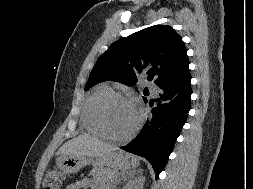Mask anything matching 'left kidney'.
Returning a JSON list of instances; mask_svg holds the SVG:
<instances>
[{
    "instance_id": "5707ae66",
    "label": "left kidney",
    "mask_w": 253,
    "mask_h": 189,
    "mask_svg": "<svg viewBox=\"0 0 253 189\" xmlns=\"http://www.w3.org/2000/svg\"><path fill=\"white\" fill-rule=\"evenodd\" d=\"M145 178L140 176L135 180L128 182L123 189H143Z\"/></svg>"
}]
</instances>
